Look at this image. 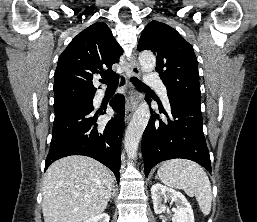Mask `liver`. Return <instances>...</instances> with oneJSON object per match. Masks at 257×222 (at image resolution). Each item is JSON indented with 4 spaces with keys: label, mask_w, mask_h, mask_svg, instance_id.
Here are the masks:
<instances>
[{
    "label": "liver",
    "mask_w": 257,
    "mask_h": 222,
    "mask_svg": "<svg viewBox=\"0 0 257 222\" xmlns=\"http://www.w3.org/2000/svg\"><path fill=\"white\" fill-rule=\"evenodd\" d=\"M114 178L100 162L86 156L55 161L43 179L44 222H84L104 212Z\"/></svg>",
    "instance_id": "6515ba94"
}]
</instances>
